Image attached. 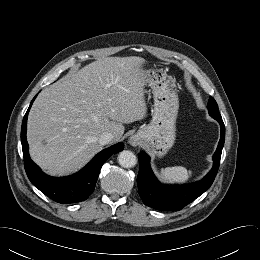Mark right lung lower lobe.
<instances>
[{"mask_svg": "<svg viewBox=\"0 0 260 260\" xmlns=\"http://www.w3.org/2000/svg\"><path fill=\"white\" fill-rule=\"evenodd\" d=\"M34 99L24 116L21 128V142L27 176L36 188L58 203L69 204L81 202L87 199L95 189V184L104 162L112 154L122 151L124 145L123 143H118L101 151L85 168L74 175L61 178H53L45 175L31 160L26 140L27 117Z\"/></svg>", "mask_w": 260, "mask_h": 260, "instance_id": "1", "label": "right lung lower lobe"}]
</instances>
